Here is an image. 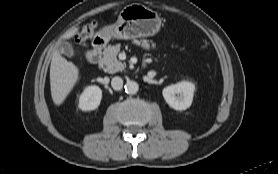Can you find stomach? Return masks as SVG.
Instances as JSON below:
<instances>
[{"mask_svg": "<svg viewBox=\"0 0 278 174\" xmlns=\"http://www.w3.org/2000/svg\"><path fill=\"white\" fill-rule=\"evenodd\" d=\"M160 27L161 19L156 11L134 3L124 7L117 22L105 27L100 34L107 40L111 37L129 40L153 36Z\"/></svg>", "mask_w": 278, "mask_h": 174, "instance_id": "1", "label": "stomach"}]
</instances>
